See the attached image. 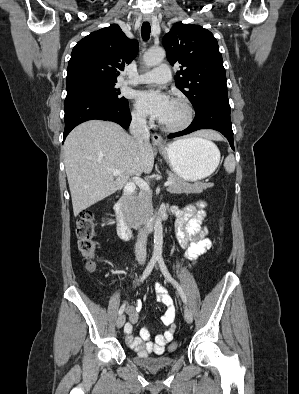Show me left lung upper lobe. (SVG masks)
I'll list each match as a JSON object with an SVG mask.
<instances>
[{"mask_svg": "<svg viewBox=\"0 0 299 394\" xmlns=\"http://www.w3.org/2000/svg\"><path fill=\"white\" fill-rule=\"evenodd\" d=\"M167 59L181 64L175 76L176 87L196 107L205 98L227 94L222 55L213 34L199 25L177 22L163 37Z\"/></svg>", "mask_w": 299, "mask_h": 394, "instance_id": "obj_1", "label": "left lung upper lobe"}]
</instances>
